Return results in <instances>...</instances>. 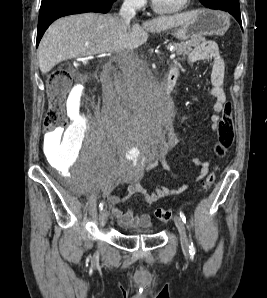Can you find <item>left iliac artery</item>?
Returning <instances> with one entry per match:
<instances>
[{"instance_id":"obj_1","label":"left iliac artery","mask_w":267,"mask_h":298,"mask_svg":"<svg viewBox=\"0 0 267 298\" xmlns=\"http://www.w3.org/2000/svg\"><path fill=\"white\" fill-rule=\"evenodd\" d=\"M180 217H181L182 221H183L184 223H186V217H185V215H184V213H183L182 211H180ZM195 252H196L195 247H194V245H193V242L191 241V243H190V245H189V253H190L191 255H194Z\"/></svg>"}]
</instances>
